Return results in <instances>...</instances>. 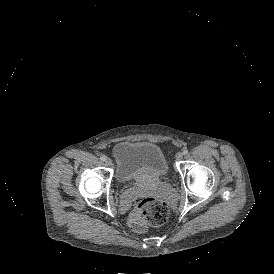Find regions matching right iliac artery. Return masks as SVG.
<instances>
[{
  "mask_svg": "<svg viewBox=\"0 0 274 274\" xmlns=\"http://www.w3.org/2000/svg\"><path fill=\"white\" fill-rule=\"evenodd\" d=\"M100 159H101L102 161H105L107 158H106V156H101Z\"/></svg>",
  "mask_w": 274,
  "mask_h": 274,
  "instance_id": "1",
  "label": "right iliac artery"
}]
</instances>
